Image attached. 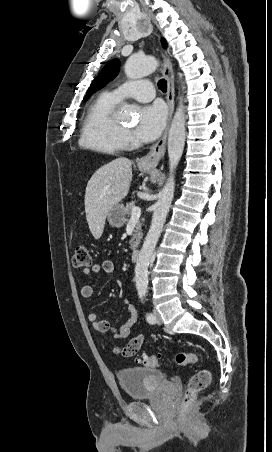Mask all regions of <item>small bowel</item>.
I'll return each instance as SVG.
<instances>
[{
  "instance_id": "obj_1",
  "label": "small bowel",
  "mask_w": 272,
  "mask_h": 452,
  "mask_svg": "<svg viewBox=\"0 0 272 452\" xmlns=\"http://www.w3.org/2000/svg\"><path fill=\"white\" fill-rule=\"evenodd\" d=\"M115 270L114 262L111 260H103L99 263L93 264L91 267L85 268L83 273L85 275H91V274H100V273H106V274H112ZM94 294V288L91 284H84L81 287V295L84 298H91ZM124 304L127 308L129 317L126 320L124 324H122L119 328L113 327L107 320L105 319H99L98 315L95 313H91L88 316V320L93 326L94 330L100 334H106L111 333L113 337L117 339H128L131 336L132 328L136 324L138 320V314L135 306L132 304V302L128 299H124ZM138 340L139 341V350L142 346V343L144 341V334H139L136 337H133L129 340ZM118 348V347H117ZM114 349V353L117 355H121Z\"/></svg>"
}]
</instances>
